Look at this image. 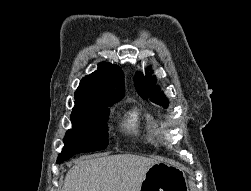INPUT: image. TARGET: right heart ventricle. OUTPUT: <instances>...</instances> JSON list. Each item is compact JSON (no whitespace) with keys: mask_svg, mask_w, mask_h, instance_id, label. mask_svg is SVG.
I'll return each instance as SVG.
<instances>
[{"mask_svg":"<svg viewBox=\"0 0 251 191\" xmlns=\"http://www.w3.org/2000/svg\"><path fill=\"white\" fill-rule=\"evenodd\" d=\"M120 129L122 133L131 138L150 141V131L145 116L137 106H132L127 110L120 124Z\"/></svg>","mask_w":251,"mask_h":191,"instance_id":"e07e8e85","label":"right heart ventricle"}]
</instances>
